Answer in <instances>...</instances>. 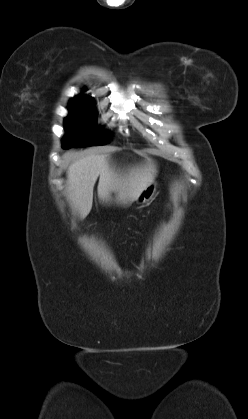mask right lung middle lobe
<instances>
[{
  "label": "right lung middle lobe",
  "instance_id": "1",
  "mask_svg": "<svg viewBox=\"0 0 248 419\" xmlns=\"http://www.w3.org/2000/svg\"><path fill=\"white\" fill-rule=\"evenodd\" d=\"M95 119L92 101L73 98L69 105V115L64 122L66 135L62 139L63 148L105 144V136L97 127Z\"/></svg>",
  "mask_w": 248,
  "mask_h": 419
}]
</instances>
